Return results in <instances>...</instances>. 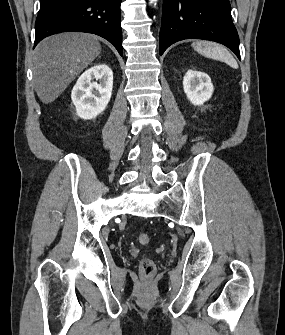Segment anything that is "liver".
Segmentation results:
<instances>
[{"label": "liver", "mask_w": 285, "mask_h": 335, "mask_svg": "<svg viewBox=\"0 0 285 335\" xmlns=\"http://www.w3.org/2000/svg\"><path fill=\"white\" fill-rule=\"evenodd\" d=\"M93 34L66 32L45 38L35 48L32 72L34 90L43 104H51L101 54Z\"/></svg>", "instance_id": "obj_1"}]
</instances>
